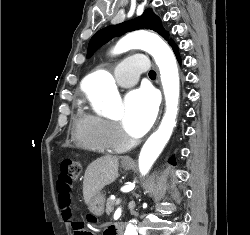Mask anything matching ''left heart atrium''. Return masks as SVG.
Instances as JSON below:
<instances>
[{
    "mask_svg": "<svg viewBox=\"0 0 250 235\" xmlns=\"http://www.w3.org/2000/svg\"><path fill=\"white\" fill-rule=\"evenodd\" d=\"M157 113V100L146 87L135 89L124 100L123 127L133 137L144 135L151 127Z\"/></svg>",
    "mask_w": 250,
    "mask_h": 235,
    "instance_id": "left-heart-atrium-1",
    "label": "left heart atrium"
}]
</instances>
